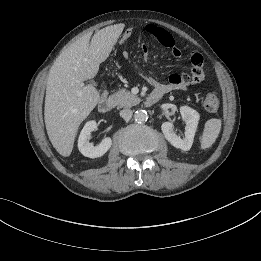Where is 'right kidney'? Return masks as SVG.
Wrapping results in <instances>:
<instances>
[{
	"label": "right kidney",
	"mask_w": 261,
	"mask_h": 261,
	"mask_svg": "<svg viewBox=\"0 0 261 261\" xmlns=\"http://www.w3.org/2000/svg\"><path fill=\"white\" fill-rule=\"evenodd\" d=\"M97 129L95 120L88 121L80 132L78 138V149L81 154L89 158H97L103 156L111 147L112 140L110 137L102 139L99 145L94 146L89 142L91 133Z\"/></svg>",
	"instance_id": "ca27d5eb"
}]
</instances>
